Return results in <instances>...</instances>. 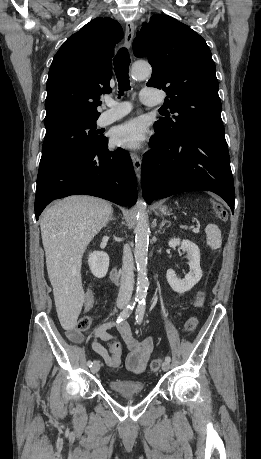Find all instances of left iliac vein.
<instances>
[{
    "label": "left iliac vein",
    "instance_id": "1",
    "mask_svg": "<svg viewBox=\"0 0 261 459\" xmlns=\"http://www.w3.org/2000/svg\"><path fill=\"white\" fill-rule=\"evenodd\" d=\"M169 369H170V363H169L168 361L165 360V361L162 363V370H163V371H168Z\"/></svg>",
    "mask_w": 261,
    "mask_h": 459
}]
</instances>
